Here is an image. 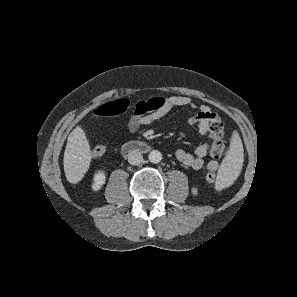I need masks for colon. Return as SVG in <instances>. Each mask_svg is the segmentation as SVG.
Returning a JSON list of instances; mask_svg holds the SVG:
<instances>
[{"label": "colon", "mask_w": 297, "mask_h": 297, "mask_svg": "<svg viewBox=\"0 0 297 297\" xmlns=\"http://www.w3.org/2000/svg\"><path fill=\"white\" fill-rule=\"evenodd\" d=\"M128 107V100L121 98L101 105L95 110V114L98 116H117L126 112ZM148 108L149 107L146 101H139L134 105L133 111L135 114L141 115L144 114ZM209 126L211 137L208 148L209 155L214 159H218L222 156L226 147V143L223 138V122L220 116L214 113L211 116ZM92 153L94 157H101L105 153V147L97 145L93 149ZM206 181L208 184L213 186L216 182V175L214 173H208L206 175Z\"/></svg>", "instance_id": "colon-1"}]
</instances>
